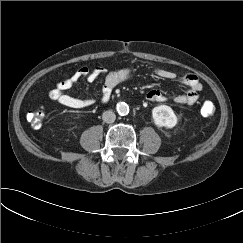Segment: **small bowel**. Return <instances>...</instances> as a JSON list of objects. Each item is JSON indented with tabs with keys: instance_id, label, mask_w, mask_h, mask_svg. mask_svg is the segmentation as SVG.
<instances>
[{
	"instance_id": "small-bowel-1",
	"label": "small bowel",
	"mask_w": 243,
	"mask_h": 243,
	"mask_svg": "<svg viewBox=\"0 0 243 243\" xmlns=\"http://www.w3.org/2000/svg\"><path fill=\"white\" fill-rule=\"evenodd\" d=\"M155 74L159 78L167 80L176 78V74L167 69H156ZM101 75H104V82L101 89V102L107 103L113 89L122 82L130 79L132 77V71L129 68H118L107 72L103 67H95L93 69L82 67L71 77L58 82L57 85L49 91V97L68 108L83 109L89 107L95 102L94 99L76 98L67 94L66 91L74 87L81 79L93 82ZM181 82L187 87V89L182 94L172 96V100L174 103L179 105L194 104L198 100L199 92L202 90V84L198 77L192 73H188L181 78ZM146 97L148 101L156 103H164L169 98L157 89L149 91Z\"/></svg>"
}]
</instances>
